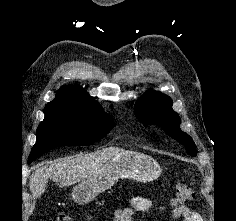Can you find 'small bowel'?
<instances>
[{
    "label": "small bowel",
    "instance_id": "c3829d8e",
    "mask_svg": "<svg viewBox=\"0 0 236 221\" xmlns=\"http://www.w3.org/2000/svg\"><path fill=\"white\" fill-rule=\"evenodd\" d=\"M155 202L152 199L144 197H134L131 199L128 207L115 210L112 221H132L136 212H146L154 208ZM174 219L182 218V221H203L201 215L185 206L180 205L174 208L172 212Z\"/></svg>",
    "mask_w": 236,
    "mask_h": 221
}]
</instances>
